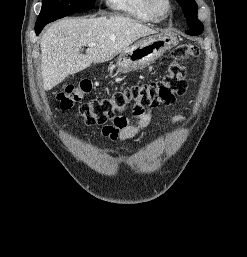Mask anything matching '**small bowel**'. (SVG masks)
Segmentation results:
<instances>
[{
  "instance_id": "small-bowel-1",
  "label": "small bowel",
  "mask_w": 247,
  "mask_h": 257,
  "mask_svg": "<svg viewBox=\"0 0 247 257\" xmlns=\"http://www.w3.org/2000/svg\"><path fill=\"white\" fill-rule=\"evenodd\" d=\"M133 116L136 120L135 123H129L126 118L125 125H119L113 122L111 125H106L102 128L101 134L112 141H125L134 137L140 130L146 128L152 119L151 111L147 108L134 106ZM181 115H174L171 119L173 123L182 120Z\"/></svg>"
}]
</instances>
